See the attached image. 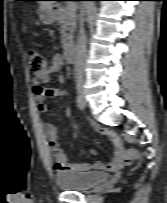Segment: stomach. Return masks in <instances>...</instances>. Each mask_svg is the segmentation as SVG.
I'll list each match as a JSON object with an SVG mask.
<instances>
[{
    "label": "stomach",
    "instance_id": "1",
    "mask_svg": "<svg viewBox=\"0 0 167 203\" xmlns=\"http://www.w3.org/2000/svg\"><path fill=\"white\" fill-rule=\"evenodd\" d=\"M39 17L44 24L49 25L57 20V13L52 7H41L39 10Z\"/></svg>",
    "mask_w": 167,
    "mask_h": 203
}]
</instances>
